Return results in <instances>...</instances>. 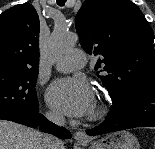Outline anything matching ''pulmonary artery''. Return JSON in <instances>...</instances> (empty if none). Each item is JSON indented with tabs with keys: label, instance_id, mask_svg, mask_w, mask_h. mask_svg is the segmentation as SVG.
Instances as JSON below:
<instances>
[{
	"label": "pulmonary artery",
	"instance_id": "1",
	"mask_svg": "<svg viewBox=\"0 0 155 149\" xmlns=\"http://www.w3.org/2000/svg\"><path fill=\"white\" fill-rule=\"evenodd\" d=\"M86 55L81 49H74L68 51L62 58H60L55 68L61 72H71L85 65Z\"/></svg>",
	"mask_w": 155,
	"mask_h": 149
}]
</instances>
